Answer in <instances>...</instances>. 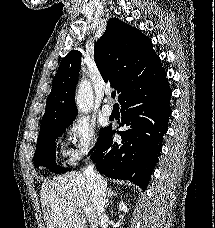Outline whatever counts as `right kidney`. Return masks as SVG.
Here are the masks:
<instances>
[{
  "label": "right kidney",
  "instance_id": "right-kidney-1",
  "mask_svg": "<svg viewBox=\"0 0 215 228\" xmlns=\"http://www.w3.org/2000/svg\"><path fill=\"white\" fill-rule=\"evenodd\" d=\"M118 208L120 210V212H125V214H127L129 208H127L126 204H124V202H119L118 204Z\"/></svg>",
  "mask_w": 215,
  "mask_h": 228
}]
</instances>
